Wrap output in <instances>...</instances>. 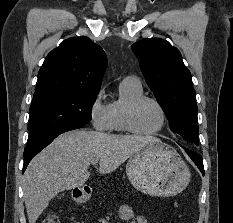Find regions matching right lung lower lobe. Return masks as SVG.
Returning <instances> with one entry per match:
<instances>
[{"instance_id": "obj_1", "label": "right lung lower lobe", "mask_w": 233, "mask_h": 223, "mask_svg": "<svg viewBox=\"0 0 233 223\" xmlns=\"http://www.w3.org/2000/svg\"><path fill=\"white\" fill-rule=\"evenodd\" d=\"M78 128H81L79 126H71V127H67L65 129H63L58 135L64 133V132H67V131H70V130H74V129H78ZM58 135H56L54 138H52L51 140H49L43 147H41L39 150L35 151L34 153L28 155V156H25V163L23 165V172L25 171L27 165L29 164L30 160L37 154L39 153L43 148H45L47 145H49Z\"/></svg>"}]
</instances>
